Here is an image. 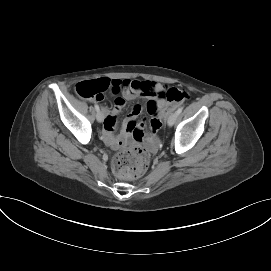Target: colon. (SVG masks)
<instances>
[{
	"instance_id": "1",
	"label": "colon",
	"mask_w": 271,
	"mask_h": 271,
	"mask_svg": "<svg viewBox=\"0 0 271 271\" xmlns=\"http://www.w3.org/2000/svg\"><path fill=\"white\" fill-rule=\"evenodd\" d=\"M111 89V84L107 79L89 80L79 82L75 90L83 98L101 99L104 92ZM171 105L182 104L189 98L185 90L179 88H165L160 95ZM161 127V121L153 119L150 123V130L157 131ZM150 160V155L145 148L134 146L119 153L113 162L115 172L126 179L140 177L146 171Z\"/></svg>"
}]
</instances>
